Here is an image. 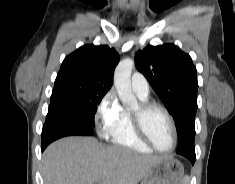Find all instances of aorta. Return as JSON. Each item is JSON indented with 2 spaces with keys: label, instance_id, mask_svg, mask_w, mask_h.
<instances>
[{
  "label": "aorta",
  "instance_id": "obj_1",
  "mask_svg": "<svg viewBox=\"0 0 235 184\" xmlns=\"http://www.w3.org/2000/svg\"><path fill=\"white\" fill-rule=\"evenodd\" d=\"M134 68L133 60H122L114 72V86L123 106H137V100L131 88V72Z\"/></svg>",
  "mask_w": 235,
  "mask_h": 184
}]
</instances>
